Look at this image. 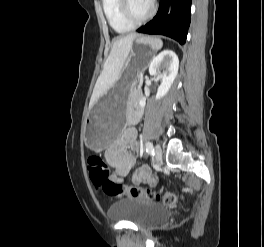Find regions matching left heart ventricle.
<instances>
[{
    "instance_id": "obj_1",
    "label": "left heart ventricle",
    "mask_w": 264,
    "mask_h": 247,
    "mask_svg": "<svg viewBox=\"0 0 264 247\" xmlns=\"http://www.w3.org/2000/svg\"><path fill=\"white\" fill-rule=\"evenodd\" d=\"M150 8L149 0H130V9L135 17L144 16Z\"/></svg>"
}]
</instances>
